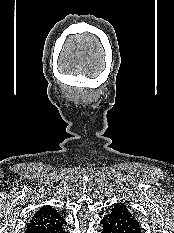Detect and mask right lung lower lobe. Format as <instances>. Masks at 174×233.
<instances>
[{"label": "right lung lower lobe", "instance_id": "right-lung-lower-lobe-1", "mask_svg": "<svg viewBox=\"0 0 174 233\" xmlns=\"http://www.w3.org/2000/svg\"><path fill=\"white\" fill-rule=\"evenodd\" d=\"M65 223V222H64ZM64 223L60 224L52 229L45 230L42 233H66L64 230Z\"/></svg>", "mask_w": 174, "mask_h": 233}]
</instances>
